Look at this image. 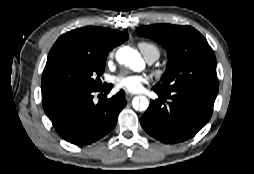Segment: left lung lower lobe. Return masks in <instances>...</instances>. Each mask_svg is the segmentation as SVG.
Returning <instances> with one entry per match:
<instances>
[{
  "label": "left lung lower lobe",
  "mask_w": 254,
  "mask_h": 174,
  "mask_svg": "<svg viewBox=\"0 0 254 174\" xmlns=\"http://www.w3.org/2000/svg\"><path fill=\"white\" fill-rule=\"evenodd\" d=\"M161 100L150 102L140 119L142 128L155 139L178 143L195 136L209 121L217 92L182 88L165 93L153 87ZM169 99L167 105H164Z\"/></svg>",
  "instance_id": "left-lung-lower-lobe-1"
}]
</instances>
